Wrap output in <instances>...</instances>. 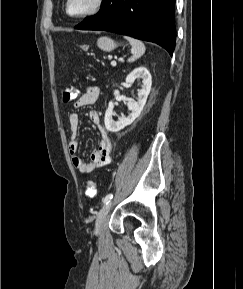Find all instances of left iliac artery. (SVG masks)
Returning <instances> with one entry per match:
<instances>
[{"label":"left iliac artery","mask_w":243,"mask_h":289,"mask_svg":"<svg viewBox=\"0 0 243 289\" xmlns=\"http://www.w3.org/2000/svg\"><path fill=\"white\" fill-rule=\"evenodd\" d=\"M113 198V194L112 193H109L108 195L105 196V198H103V203L104 204H107L111 201V199Z\"/></svg>","instance_id":"left-iliac-artery-1"}]
</instances>
